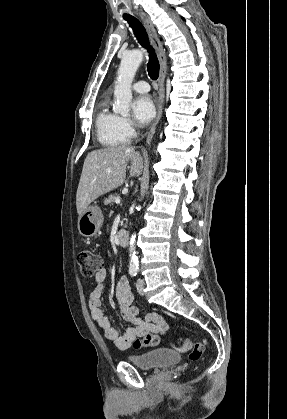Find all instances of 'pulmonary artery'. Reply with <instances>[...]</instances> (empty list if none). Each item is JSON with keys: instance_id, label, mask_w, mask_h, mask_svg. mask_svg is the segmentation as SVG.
<instances>
[{"instance_id": "obj_1", "label": "pulmonary artery", "mask_w": 287, "mask_h": 419, "mask_svg": "<svg viewBox=\"0 0 287 419\" xmlns=\"http://www.w3.org/2000/svg\"><path fill=\"white\" fill-rule=\"evenodd\" d=\"M132 89L136 92L145 93L149 91L150 87L146 81H138L132 85Z\"/></svg>"}]
</instances>
